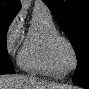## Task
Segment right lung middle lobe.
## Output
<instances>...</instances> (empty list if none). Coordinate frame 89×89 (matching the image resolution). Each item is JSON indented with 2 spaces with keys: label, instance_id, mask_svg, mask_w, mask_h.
Masks as SVG:
<instances>
[{
  "label": "right lung middle lobe",
  "instance_id": "right-lung-middle-lobe-1",
  "mask_svg": "<svg viewBox=\"0 0 89 89\" xmlns=\"http://www.w3.org/2000/svg\"><path fill=\"white\" fill-rule=\"evenodd\" d=\"M13 16L0 15V75L15 73L6 47V34Z\"/></svg>",
  "mask_w": 89,
  "mask_h": 89
}]
</instances>
